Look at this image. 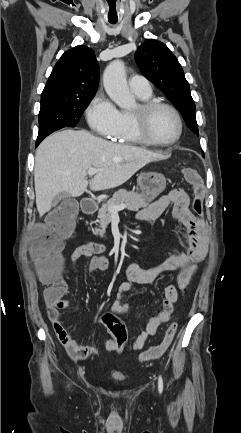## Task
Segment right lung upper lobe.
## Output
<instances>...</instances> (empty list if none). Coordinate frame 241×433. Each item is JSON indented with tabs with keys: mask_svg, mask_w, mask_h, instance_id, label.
<instances>
[{
	"mask_svg": "<svg viewBox=\"0 0 241 433\" xmlns=\"http://www.w3.org/2000/svg\"><path fill=\"white\" fill-rule=\"evenodd\" d=\"M98 83L99 66L94 51L79 45L66 51L56 63L41 94V101L91 98L95 96Z\"/></svg>",
	"mask_w": 241,
	"mask_h": 433,
	"instance_id": "cb5924a9",
	"label": "right lung upper lobe"
}]
</instances>
